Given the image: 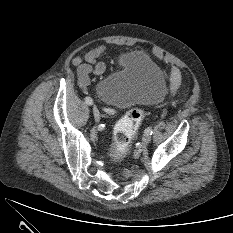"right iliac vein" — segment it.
Returning a JSON list of instances; mask_svg holds the SVG:
<instances>
[{
    "label": "right iliac vein",
    "mask_w": 233,
    "mask_h": 233,
    "mask_svg": "<svg viewBox=\"0 0 233 233\" xmlns=\"http://www.w3.org/2000/svg\"><path fill=\"white\" fill-rule=\"evenodd\" d=\"M93 114H94V118L96 122H98L101 118V115H100L99 110L95 106L93 107Z\"/></svg>",
    "instance_id": "obj_1"
}]
</instances>
